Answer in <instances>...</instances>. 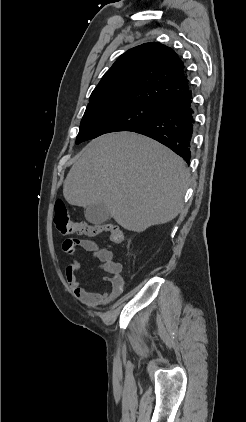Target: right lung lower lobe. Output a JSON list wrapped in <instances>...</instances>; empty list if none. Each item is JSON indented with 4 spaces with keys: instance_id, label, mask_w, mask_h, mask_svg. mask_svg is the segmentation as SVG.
I'll return each instance as SVG.
<instances>
[{
    "instance_id": "98d812e1",
    "label": "right lung lower lobe",
    "mask_w": 246,
    "mask_h": 422,
    "mask_svg": "<svg viewBox=\"0 0 246 422\" xmlns=\"http://www.w3.org/2000/svg\"><path fill=\"white\" fill-rule=\"evenodd\" d=\"M192 93L170 98L158 105V114L128 131L157 140L180 155L188 164L194 125Z\"/></svg>"
}]
</instances>
